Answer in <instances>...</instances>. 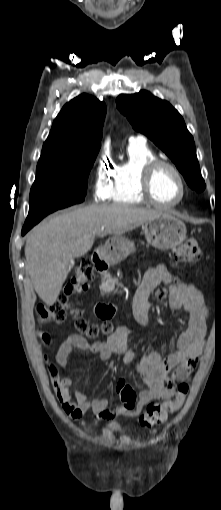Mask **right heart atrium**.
Wrapping results in <instances>:
<instances>
[{"mask_svg": "<svg viewBox=\"0 0 221 510\" xmlns=\"http://www.w3.org/2000/svg\"><path fill=\"white\" fill-rule=\"evenodd\" d=\"M113 179V167L105 153H101L97 159L93 194L96 201L104 202L110 198Z\"/></svg>", "mask_w": 221, "mask_h": 510, "instance_id": "obj_1", "label": "right heart atrium"}]
</instances>
